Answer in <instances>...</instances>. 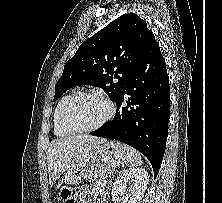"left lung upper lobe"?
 Listing matches in <instances>:
<instances>
[{
  "label": "left lung upper lobe",
  "instance_id": "5c2ea615",
  "mask_svg": "<svg viewBox=\"0 0 222 203\" xmlns=\"http://www.w3.org/2000/svg\"><path fill=\"white\" fill-rule=\"evenodd\" d=\"M151 31L136 14H125L84 41L64 65L55 86L54 101L79 85L102 88L113 100L140 60Z\"/></svg>",
  "mask_w": 222,
  "mask_h": 203
}]
</instances>
